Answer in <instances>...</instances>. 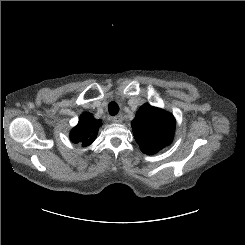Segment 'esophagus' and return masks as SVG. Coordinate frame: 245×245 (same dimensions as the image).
Returning a JSON list of instances; mask_svg holds the SVG:
<instances>
[{"label": "esophagus", "instance_id": "34e87169", "mask_svg": "<svg viewBox=\"0 0 245 245\" xmlns=\"http://www.w3.org/2000/svg\"><path fill=\"white\" fill-rule=\"evenodd\" d=\"M112 121L114 123H121L123 121V115L122 114H118V115L114 116L112 118Z\"/></svg>", "mask_w": 245, "mask_h": 245}]
</instances>
